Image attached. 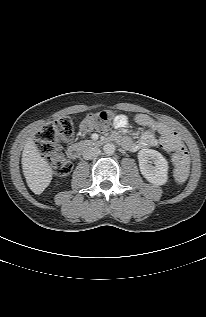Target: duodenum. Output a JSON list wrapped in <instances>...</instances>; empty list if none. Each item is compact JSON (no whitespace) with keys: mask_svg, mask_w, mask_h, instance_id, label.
<instances>
[{"mask_svg":"<svg viewBox=\"0 0 206 317\" xmlns=\"http://www.w3.org/2000/svg\"><path fill=\"white\" fill-rule=\"evenodd\" d=\"M107 140L112 142H117V141H120V138L116 135H111ZM98 143L99 141H91V142L83 143L80 145H73L69 148V154L73 158H80L86 149L91 148L97 145Z\"/></svg>","mask_w":206,"mask_h":317,"instance_id":"1","label":"duodenum"}]
</instances>
